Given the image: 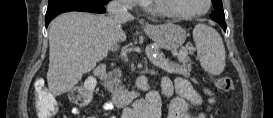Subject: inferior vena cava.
<instances>
[{
  "instance_id": "1",
  "label": "inferior vena cava",
  "mask_w": 273,
  "mask_h": 118,
  "mask_svg": "<svg viewBox=\"0 0 273 118\" xmlns=\"http://www.w3.org/2000/svg\"><path fill=\"white\" fill-rule=\"evenodd\" d=\"M108 12L110 15L115 16H128L129 13L125 7H123L118 0H112L108 4ZM120 25L116 26V30H120Z\"/></svg>"
}]
</instances>
